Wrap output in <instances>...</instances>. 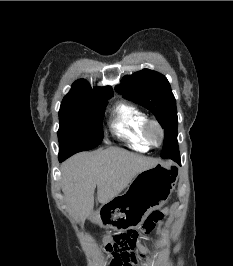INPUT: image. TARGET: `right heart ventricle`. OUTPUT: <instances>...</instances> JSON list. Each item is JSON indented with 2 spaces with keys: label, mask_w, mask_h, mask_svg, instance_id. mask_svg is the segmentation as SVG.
<instances>
[{
  "label": "right heart ventricle",
  "mask_w": 233,
  "mask_h": 266,
  "mask_svg": "<svg viewBox=\"0 0 233 266\" xmlns=\"http://www.w3.org/2000/svg\"><path fill=\"white\" fill-rule=\"evenodd\" d=\"M111 123L113 132L119 138L128 142L133 148L146 151L149 147L143 137V126L147 115L138 107L129 103H119L114 108Z\"/></svg>",
  "instance_id": "1"
}]
</instances>
